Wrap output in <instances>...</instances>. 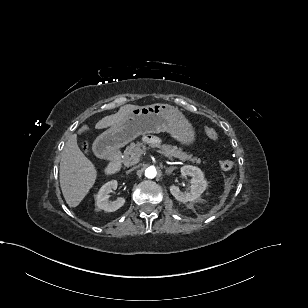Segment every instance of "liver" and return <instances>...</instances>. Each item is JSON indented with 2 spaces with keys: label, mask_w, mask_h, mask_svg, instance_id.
Here are the masks:
<instances>
[{
  "label": "liver",
  "mask_w": 308,
  "mask_h": 308,
  "mask_svg": "<svg viewBox=\"0 0 308 308\" xmlns=\"http://www.w3.org/2000/svg\"><path fill=\"white\" fill-rule=\"evenodd\" d=\"M136 105H124L115 114L99 120L95 128L103 129L120 123ZM87 125L78 130V134L88 131ZM60 186L69 207H76L95 183L97 170L94 164L83 154L77 144V134H73L62 151L60 162Z\"/></svg>",
  "instance_id": "6515ba94"
}]
</instances>
